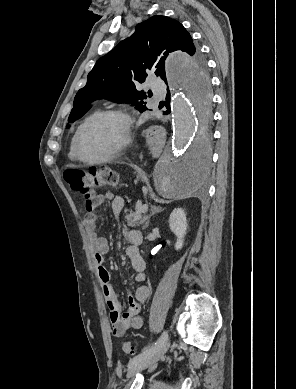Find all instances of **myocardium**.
Returning a JSON list of instances; mask_svg holds the SVG:
<instances>
[{"instance_id":"f54148a6","label":"myocardium","mask_w":296,"mask_h":389,"mask_svg":"<svg viewBox=\"0 0 296 389\" xmlns=\"http://www.w3.org/2000/svg\"><path fill=\"white\" fill-rule=\"evenodd\" d=\"M105 116H115L118 117L122 120L123 125H124V137L122 141L115 147L113 148L110 152L107 154L99 157V158H86L81 151V139L82 135L85 131V129L95 120L105 117ZM132 141V118L130 115L121 110V109H116V108H110V109H104L101 111H98L88 117L78 128L75 136V143H74V149H75V154L76 157L81 160L82 162H85L87 164H98V163H103L105 161H108L117 155H119L123 150H125L129 144Z\"/></svg>"}]
</instances>
